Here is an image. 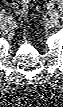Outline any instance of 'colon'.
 Segmentation results:
<instances>
[{"mask_svg":"<svg viewBox=\"0 0 63 107\" xmlns=\"http://www.w3.org/2000/svg\"><path fill=\"white\" fill-rule=\"evenodd\" d=\"M15 10L21 15H28L29 12V1L27 0H16L13 2Z\"/></svg>","mask_w":63,"mask_h":107,"instance_id":"colon-1","label":"colon"}]
</instances>
